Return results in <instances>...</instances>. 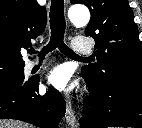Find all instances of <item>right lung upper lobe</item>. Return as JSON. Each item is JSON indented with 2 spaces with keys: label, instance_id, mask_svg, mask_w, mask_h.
<instances>
[{
  "label": "right lung upper lobe",
  "instance_id": "right-lung-upper-lobe-1",
  "mask_svg": "<svg viewBox=\"0 0 142 128\" xmlns=\"http://www.w3.org/2000/svg\"><path fill=\"white\" fill-rule=\"evenodd\" d=\"M46 20L36 0H0V69L24 68L21 49L44 31Z\"/></svg>",
  "mask_w": 142,
  "mask_h": 128
}]
</instances>
